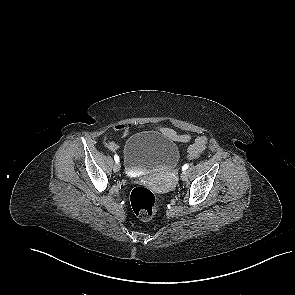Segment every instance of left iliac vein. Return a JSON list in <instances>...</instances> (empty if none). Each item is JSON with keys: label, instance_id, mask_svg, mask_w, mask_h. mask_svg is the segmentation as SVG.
I'll use <instances>...</instances> for the list:
<instances>
[{"label": "left iliac vein", "instance_id": "obj_1", "mask_svg": "<svg viewBox=\"0 0 295 295\" xmlns=\"http://www.w3.org/2000/svg\"><path fill=\"white\" fill-rule=\"evenodd\" d=\"M187 178H188V172L184 170V171L181 173V179H182L183 181H186Z\"/></svg>", "mask_w": 295, "mask_h": 295}]
</instances>
